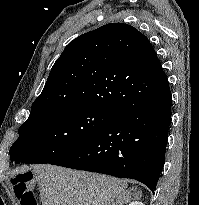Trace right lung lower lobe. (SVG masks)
I'll return each instance as SVG.
<instances>
[{"instance_id":"obj_1","label":"right lung lower lobe","mask_w":199,"mask_h":205,"mask_svg":"<svg viewBox=\"0 0 199 205\" xmlns=\"http://www.w3.org/2000/svg\"><path fill=\"white\" fill-rule=\"evenodd\" d=\"M157 76L153 89L113 112L96 136L49 164L135 179L154 193L164 165L172 105L166 74Z\"/></svg>"}]
</instances>
